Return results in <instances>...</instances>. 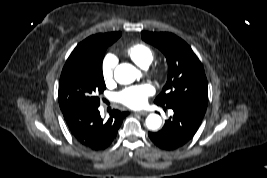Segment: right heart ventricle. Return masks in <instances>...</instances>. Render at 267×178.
<instances>
[{
    "label": "right heart ventricle",
    "instance_id": "1",
    "mask_svg": "<svg viewBox=\"0 0 267 178\" xmlns=\"http://www.w3.org/2000/svg\"><path fill=\"white\" fill-rule=\"evenodd\" d=\"M126 54L138 66L143 68H147L154 58L153 50L143 43L133 44L127 49Z\"/></svg>",
    "mask_w": 267,
    "mask_h": 178
}]
</instances>
